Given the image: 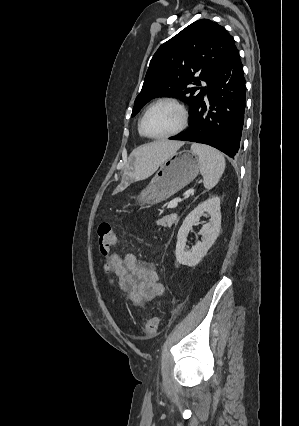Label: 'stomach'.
Wrapping results in <instances>:
<instances>
[{
  "label": "stomach",
  "instance_id": "obj_1",
  "mask_svg": "<svg viewBox=\"0 0 299 426\" xmlns=\"http://www.w3.org/2000/svg\"><path fill=\"white\" fill-rule=\"evenodd\" d=\"M199 170L200 161L196 154L187 150L175 152L136 199L141 206L164 201L188 185Z\"/></svg>",
  "mask_w": 299,
  "mask_h": 426
}]
</instances>
